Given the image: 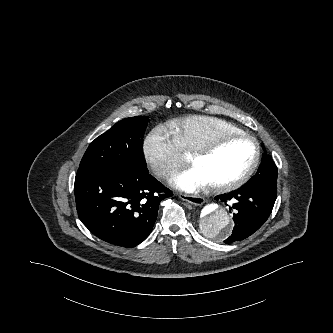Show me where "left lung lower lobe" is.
<instances>
[{
    "label": "left lung lower lobe",
    "instance_id": "left-lung-lower-lobe-1",
    "mask_svg": "<svg viewBox=\"0 0 333 333\" xmlns=\"http://www.w3.org/2000/svg\"><path fill=\"white\" fill-rule=\"evenodd\" d=\"M277 196V189L269 187L243 186L242 188L217 196L221 202L234 201L230 210H234V229L225 243L247 238L256 232L268 219Z\"/></svg>",
    "mask_w": 333,
    "mask_h": 333
}]
</instances>
